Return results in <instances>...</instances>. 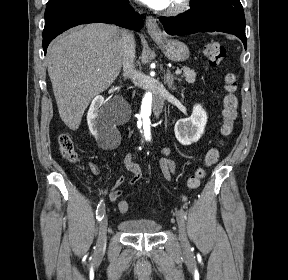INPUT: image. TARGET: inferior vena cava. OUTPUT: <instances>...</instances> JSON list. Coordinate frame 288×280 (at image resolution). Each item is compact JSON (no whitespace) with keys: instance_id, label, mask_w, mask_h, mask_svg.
I'll return each instance as SVG.
<instances>
[{"instance_id":"inferior-vena-cava-1","label":"inferior vena cava","mask_w":288,"mask_h":280,"mask_svg":"<svg viewBox=\"0 0 288 280\" xmlns=\"http://www.w3.org/2000/svg\"><path fill=\"white\" fill-rule=\"evenodd\" d=\"M135 61V40L131 31L123 32V69L124 75L131 77L136 86H141L142 90H149L152 100V110L155 114V121H160L163 106L169 89H163V85L158 78H144V75L134 68Z\"/></svg>"}]
</instances>
